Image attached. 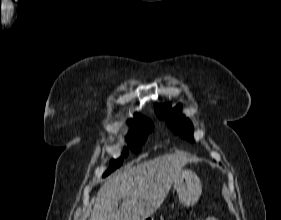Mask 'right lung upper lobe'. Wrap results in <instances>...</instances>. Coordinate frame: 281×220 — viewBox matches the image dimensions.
<instances>
[{
	"mask_svg": "<svg viewBox=\"0 0 281 220\" xmlns=\"http://www.w3.org/2000/svg\"><path fill=\"white\" fill-rule=\"evenodd\" d=\"M141 119H144L143 117L141 118L140 116H138L137 114H135V118L130 120V124L131 123H134V122H137V121H140Z\"/></svg>",
	"mask_w": 281,
	"mask_h": 220,
	"instance_id": "cb5924a9",
	"label": "right lung upper lobe"
}]
</instances>
